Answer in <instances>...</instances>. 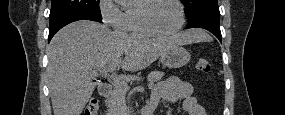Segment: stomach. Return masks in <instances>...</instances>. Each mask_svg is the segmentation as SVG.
Masks as SVG:
<instances>
[{"label": "stomach", "mask_w": 285, "mask_h": 115, "mask_svg": "<svg viewBox=\"0 0 285 115\" xmlns=\"http://www.w3.org/2000/svg\"><path fill=\"white\" fill-rule=\"evenodd\" d=\"M190 57L189 52L185 48L175 45L162 53L160 60L168 68H180L190 61Z\"/></svg>", "instance_id": "stomach-1"}]
</instances>
